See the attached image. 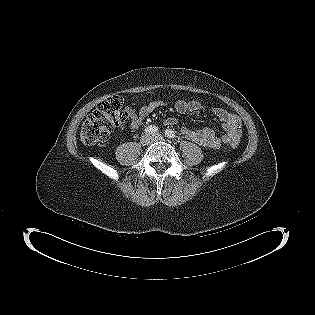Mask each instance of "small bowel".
I'll return each mask as SVG.
<instances>
[{"mask_svg":"<svg viewBox=\"0 0 315 315\" xmlns=\"http://www.w3.org/2000/svg\"><path fill=\"white\" fill-rule=\"evenodd\" d=\"M166 105L167 103L161 100L151 101L142 105L138 112L131 107H127L126 110L130 118L131 127L134 129L138 128L150 113ZM175 108L180 114L206 110V107L201 102L184 99L178 100L175 103ZM210 111L220 120L221 127L224 131L223 134L220 135L209 127L202 129L182 127L180 130L181 133L189 140L205 148H217L223 143H238L242 132L241 119L237 115L219 107H212ZM177 123L178 120L174 117H169L165 120V124L168 126H173Z\"/></svg>","mask_w":315,"mask_h":315,"instance_id":"1","label":"small bowel"}]
</instances>
